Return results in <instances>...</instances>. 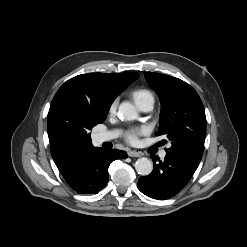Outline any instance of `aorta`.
Segmentation results:
<instances>
[{"label":"aorta","mask_w":247,"mask_h":247,"mask_svg":"<svg viewBox=\"0 0 247 247\" xmlns=\"http://www.w3.org/2000/svg\"><path fill=\"white\" fill-rule=\"evenodd\" d=\"M118 109V114L122 119L131 121L138 118V110L129 102H122ZM135 169L138 174L146 176L152 172L153 164L150 159L142 157L136 161Z\"/></svg>","instance_id":"aorta-1"}]
</instances>
